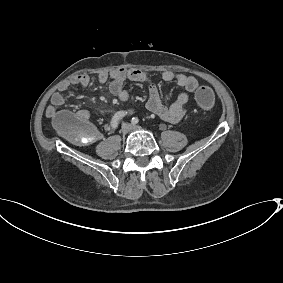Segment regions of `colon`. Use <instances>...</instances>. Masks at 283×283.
Instances as JSON below:
<instances>
[{"label": "colon", "mask_w": 283, "mask_h": 283, "mask_svg": "<svg viewBox=\"0 0 283 283\" xmlns=\"http://www.w3.org/2000/svg\"><path fill=\"white\" fill-rule=\"evenodd\" d=\"M196 101L202 111L208 112L215 103L214 93L206 86L200 87L196 92ZM54 124L63 136L75 144L87 145L97 139V131L87 119L70 112H58Z\"/></svg>", "instance_id": "colon-1"}]
</instances>
